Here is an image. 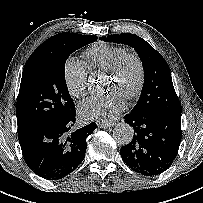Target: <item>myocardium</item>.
<instances>
[{"label":"myocardium","instance_id":"f54148a6","mask_svg":"<svg viewBox=\"0 0 203 203\" xmlns=\"http://www.w3.org/2000/svg\"><path fill=\"white\" fill-rule=\"evenodd\" d=\"M133 61L137 67V77L132 89L125 95L127 99L135 98L142 90L145 80V68L141 57L133 51H125L114 62L112 67L108 70L110 76L115 75L127 61Z\"/></svg>","mask_w":203,"mask_h":203}]
</instances>
